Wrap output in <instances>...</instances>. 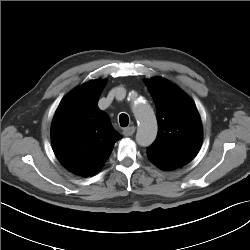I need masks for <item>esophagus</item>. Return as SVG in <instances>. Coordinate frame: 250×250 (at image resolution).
<instances>
[{
	"mask_svg": "<svg viewBox=\"0 0 250 250\" xmlns=\"http://www.w3.org/2000/svg\"><path fill=\"white\" fill-rule=\"evenodd\" d=\"M136 128L134 126H130L127 128H124L123 134L124 136H132L135 133Z\"/></svg>",
	"mask_w": 250,
	"mask_h": 250,
	"instance_id": "34e87169",
	"label": "esophagus"
}]
</instances>
